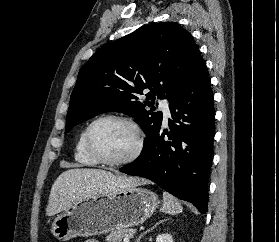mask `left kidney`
Returning <instances> with one entry per match:
<instances>
[{"label": "left kidney", "instance_id": "obj_1", "mask_svg": "<svg viewBox=\"0 0 279 242\" xmlns=\"http://www.w3.org/2000/svg\"><path fill=\"white\" fill-rule=\"evenodd\" d=\"M156 242H173V238L170 234H159L156 237Z\"/></svg>", "mask_w": 279, "mask_h": 242}]
</instances>
